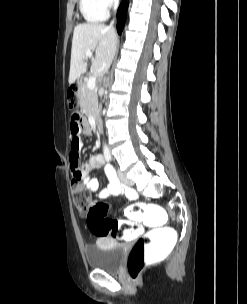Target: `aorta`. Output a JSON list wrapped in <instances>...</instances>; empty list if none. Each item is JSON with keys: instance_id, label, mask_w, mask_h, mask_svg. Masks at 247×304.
I'll return each instance as SVG.
<instances>
[{"instance_id": "obj_1", "label": "aorta", "mask_w": 247, "mask_h": 304, "mask_svg": "<svg viewBox=\"0 0 247 304\" xmlns=\"http://www.w3.org/2000/svg\"><path fill=\"white\" fill-rule=\"evenodd\" d=\"M104 149H105V150H107V149H108L106 145H104Z\"/></svg>"}]
</instances>
